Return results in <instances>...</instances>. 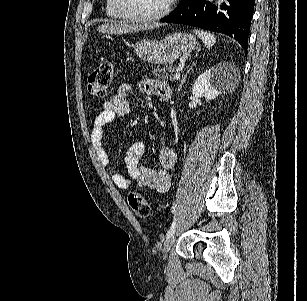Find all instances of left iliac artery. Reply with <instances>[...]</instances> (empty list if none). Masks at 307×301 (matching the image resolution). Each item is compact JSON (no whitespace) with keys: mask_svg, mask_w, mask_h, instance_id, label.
<instances>
[{"mask_svg":"<svg viewBox=\"0 0 307 301\" xmlns=\"http://www.w3.org/2000/svg\"><path fill=\"white\" fill-rule=\"evenodd\" d=\"M175 208H176V204L174 203V206H173V212H174V213L176 212V211H175ZM175 227H176V218L174 217V220H173V222H172V225H171L170 229H169L168 232H167V238L170 237V236H172V235L174 234V232H175Z\"/></svg>","mask_w":307,"mask_h":301,"instance_id":"obj_1","label":"left iliac artery"}]
</instances>
